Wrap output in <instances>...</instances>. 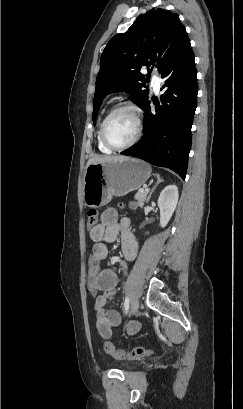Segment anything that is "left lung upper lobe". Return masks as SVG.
Segmentation results:
<instances>
[{"label": "left lung upper lobe", "instance_id": "1", "mask_svg": "<svg viewBox=\"0 0 243 409\" xmlns=\"http://www.w3.org/2000/svg\"><path fill=\"white\" fill-rule=\"evenodd\" d=\"M189 40L177 14L161 8L151 9L137 17L125 32L114 36L100 59L93 101V123L104 97L111 92L125 91L143 108L149 100L147 78L140 69L156 66L162 73L180 48Z\"/></svg>", "mask_w": 243, "mask_h": 409}]
</instances>
